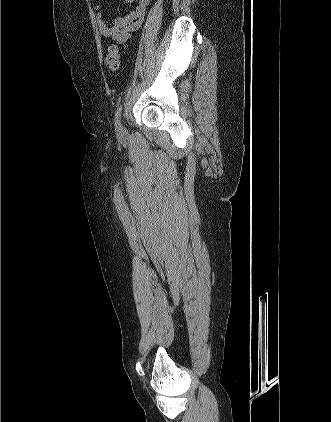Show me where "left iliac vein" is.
I'll use <instances>...</instances> for the list:
<instances>
[{
  "label": "left iliac vein",
  "mask_w": 331,
  "mask_h": 422,
  "mask_svg": "<svg viewBox=\"0 0 331 422\" xmlns=\"http://www.w3.org/2000/svg\"><path fill=\"white\" fill-rule=\"evenodd\" d=\"M122 132L124 131V127L123 126H121V129H120Z\"/></svg>",
  "instance_id": "left-iliac-vein-1"
}]
</instances>
